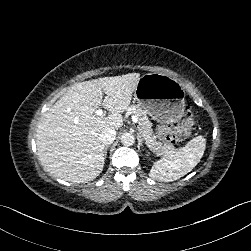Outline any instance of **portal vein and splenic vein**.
Here are the masks:
<instances>
[{"label": "portal vein and splenic vein", "mask_w": 251, "mask_h": 251, "mask_svg": "<svg viewBox=\"0 0 251 251\" xmlns=\"http://www.w3.org/2000/svg\"><path fill=\"white\" fill-rule=\"evenodd\" d=\"M102 113H103V112H102L101 109H96V110H95V114H96L97 116H101ZM131 119H132V121H137V116L134 115V114H131Z\"/></svg>", "instance_id": "obj_1"}]
</instances>
